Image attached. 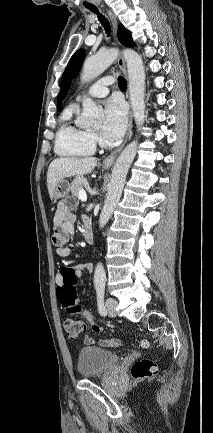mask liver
Wrapping results in <instances>:
<instances>
[{
    "label": "liver",
    "mask_w": 213,
    "mask_h": 433,
    "mask_svg": "<svg viewBox=\"0 0 213 433\" xmlns=\"http://www.w3.org/2000/svg\"><path fill=\"white\" fill-rule=\"evenodd\" d=\"M96 164L97 159L95 157H60L53 160L47 171V188L50 197H52L55 187L61 180L89 174L93 171Z\"/></svg>",
    "instance_id": "obj_1"
}]
</instances>
